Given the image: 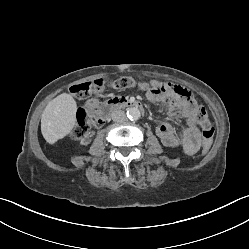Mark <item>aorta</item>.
I'll return each instance as SVG.
<instances>
[{
    "mask_svg": "<svg viewBox=\"0 0 249 249\" xmlns=\"http://www.w3.org/2000/svg\"><path fill=\"white\" fill-rule=\"evenodd\" d=\"M140 116H141V113L137 107H131L127 109V117L130 120H138Z\"/></svg>",
    "mask_w": 249,
    "mask_h": 249,
    "instance_id": "obj_1",
    "label": "aorta"
}]
</instances>
